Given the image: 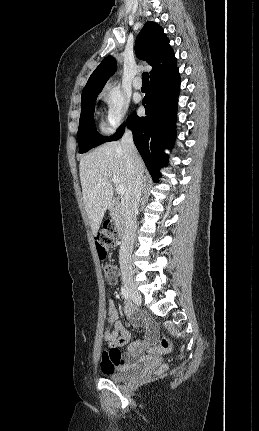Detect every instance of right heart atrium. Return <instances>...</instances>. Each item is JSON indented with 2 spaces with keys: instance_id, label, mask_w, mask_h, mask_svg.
Returning <instances> with one entry per match:
<instances>
[{
  "instance_id": "obj_1",
  "label": "right heart atrium",
  "mask_w": 259,
  "mask_h": 431,
  "mask_svg": "<svg viewBox=\"0 0 259 431\" xmlns=\"http://www.w3.org/2000/svg\"><path fill=\"white\" fill-rule=\"evenodd\" d=\"M106 104L105 126L109 131H115L128 122L129 100L124 93L114 85L106 86L101 94Z\"/></svg>"
}]
</instances>
